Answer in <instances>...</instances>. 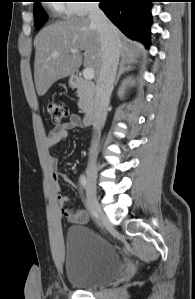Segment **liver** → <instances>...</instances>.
Wrapping results in <instances>:
<instances>
[{"label": "liver", "instance_id": "1", "mask_svg": "<svg viewBox=\"0 0 195 299\" xmlns=\"http://www.w3.org/2000/svg\"><path fill=\"white\" fill-rule=\"evenodd\" d=\"M117 29V28H116ZM122 59L136 62L143 47L127 39L118 29ZM34 80L39 96L61 78L73 75L82 65L100 74L102 52L100 36L95 23L89 17H73L57 21L43 28L34 39ZM71 49H77L75 54ZM81 51H84V59ZM59 54L54 56V54Z\"/></svg>", "mask_w": 195, "mask_h": 299}]
</instances>
